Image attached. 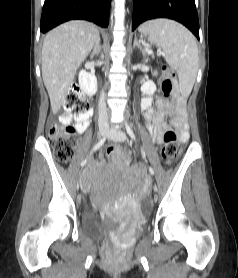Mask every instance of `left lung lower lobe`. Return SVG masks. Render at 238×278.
<instances>
[{
    "label": "left lung lower lobe",
    "mask_w": 238,
    "mask_h": 278,
    "mask_svg": "<svg viewBox=\"0 0 238 278\" xmlns=\"http://www.w3.org/2000/svg\"><path fill=\"white\" fill-rule=\"evenodd\" d=\"M154 18L176 20L199 40V21L194 0H133L132 30Z\"/></svg>",
    "instance_id": "1"
}]
</instances>
